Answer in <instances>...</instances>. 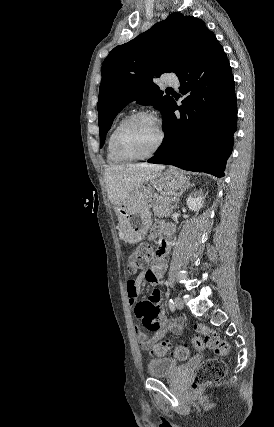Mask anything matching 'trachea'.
Segmentation results:
<instances>
[{"label": "trachea", "instance_id": "1", "mask_svg": "<svg viewBox=\"0 0 274 427\" xmlns=\"http://www.w3.org/2000/svg\"><path fill=\"white\" fill-rule=\"evenodd\" d=\"M167 90H173V89H171V87H168V89Z\"/></svg>", "mask_w": 274, "mask_h": 427}]
</instances>
